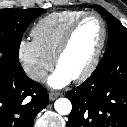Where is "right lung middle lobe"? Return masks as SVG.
<instances>
[{
  "label": "right lung middle lobe",
  "mask_w": 127,
  "mask_h": 127,
  "mask_svg": "<svg viewBox=\"0 0 127 127\" xmlns=\"http://www.w3.org/2000/svg\"><path fill=\"white\" fill-rule=\"evenodd\" d=\"M45 9H0V52L18 62L22 35Z\"/></svg>",
  "instance_id": "obj_1"
}]
</instances>
